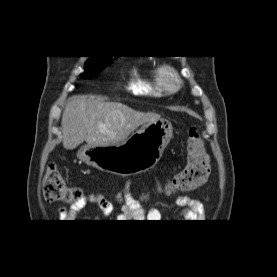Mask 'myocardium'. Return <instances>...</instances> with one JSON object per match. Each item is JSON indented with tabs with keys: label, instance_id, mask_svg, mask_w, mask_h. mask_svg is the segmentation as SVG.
<instances>
[{
	"label": "myocardium",
	"instance_id": "myocardium-1",
	"mask_svg": "<svg viewBox=\"0 0 277 277\" xmlns=\"http://www.w3.org/2000/svg\"><path fill=\"white\" fill-rule=\"evenodd\" d=\"M157 75L161 86L166 92L175 93L181 88L182 80L174 66L168 64L161 65L157 69Z\"/></svg>",
	"mask_w": 277,
	"mask_h": 277
}]
</instances>
